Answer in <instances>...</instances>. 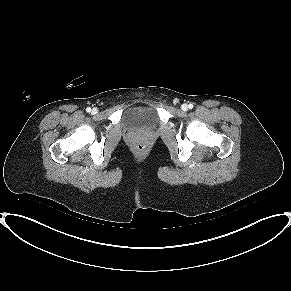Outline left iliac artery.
Wrapping results in <instances>:
<instances>
[{
    "label": "left iliac artery",
    "instance_id": "44dca946",
    "mask_svg": "<svg viewBox=\"0 0 291 291\" xmlns=\"http://www.w3.org/2000/svg\"><path fill=\"white\" fill-rule=\"evenodd\" d=\"M188 107H189V109H192L193 108V104H189Z\"/></svg>",
    "mask_w": 291,
    "mask_h": 291
}]
</instances>
